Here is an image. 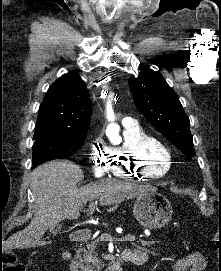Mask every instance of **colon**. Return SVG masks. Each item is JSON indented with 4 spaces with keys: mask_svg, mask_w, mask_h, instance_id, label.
Wrapping results in <instances>:
<instances>
[{
    "mask_svg": "<svg viewBox=\"0 0 221 271\" xmlns=\"http://www.w3.org/2000/svg\"><path fill=\"white\" fill-rule=\"evenodd\" d=\"M0 271H27V267L15 254L6 253L0 260Z\"/></svg>",
    "mask_w": 221,
    "mask_h": 271,
    "instance_id": "colon-1",
    "label": "colon"
}]
</instances>
